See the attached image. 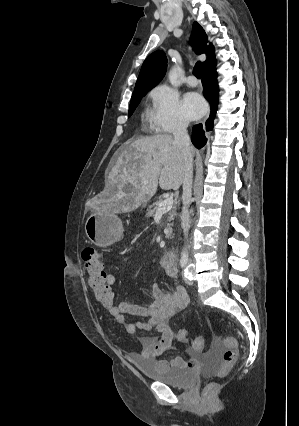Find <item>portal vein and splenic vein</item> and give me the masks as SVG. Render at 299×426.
Returning <instances> with one entry per match:
<instances>
[{"label": "portal vein and splenic vein", "instance_id": "1", "mask_svg": "<svg viewBox=\"0 0 299 426\" xmlns=\"http://www.w3.org/2000/svg\"><path fill=\"white\" fill-rule=\"evenodd\" d=\"M147 184V182H145ZM174 203V200L172 197L166 198L162 203L159 204V208L157 210V214H162L164 212H167L172 208V205Z\"/></svg>", "mask_w": 299, "mask_h": 426}]
</instances>
